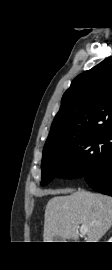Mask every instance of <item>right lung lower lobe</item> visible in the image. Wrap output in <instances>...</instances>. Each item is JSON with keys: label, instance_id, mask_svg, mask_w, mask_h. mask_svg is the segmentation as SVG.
Instances as JSON below:
<instances>
[{"label": "right lung lower lobe", "instance_id": "1", "mask_svg": "<svg viewBox=\"0 0 112 270\" xmlns=\"http://www.w3.org/2000/svg\"><path fill=\"white\" fill-rule=\"evenodd\" d=\"M85 180L95 191L112 196V147L106 153L100 167L89 171Z\"/></svg>", "mask_w": 112, "mask_h": 270}]
</instances>
